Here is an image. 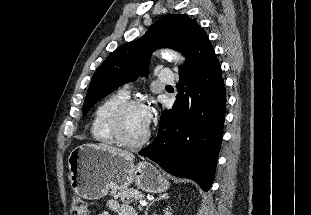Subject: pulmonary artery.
Here are the masks:
<instances>
[{"label":"pulmonary artery","mask_w":311,"mask_h":215,"mask_svg":"<svg viewBox=\"0 0 311 215\" xmlns=\"http://www.w3.org/2000/svg\"><path fill=\"white\" fill-rule=\"evenodd\" d=\"M159 80L163 83H173L174 75L170 70L164 69V70H161L159 73ZM120 91L126 95H129L130 93L129 85L128 84L124 85Z\"/></svg>","instance_id":"e3ab8cb5"}]
</instances>
